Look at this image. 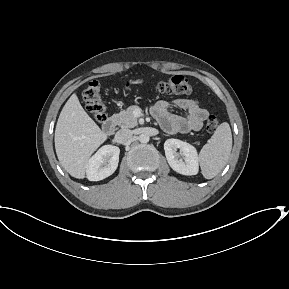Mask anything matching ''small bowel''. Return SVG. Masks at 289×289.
I'll list each match as a JSON object with an SVG mask.
<instances>
[{
  "instance_id": "small-bowel-1",
  "label": "small bowel",
  "mask_w": 289,
  "mask_h": 289,
  "mask_svg": "<svg viewBox=\"0 0 289 289\" xmlns=\"http://www.w3.org/2000/svg\"><path fill=\"white\" fill-rule=\"evenodd\" d=\"M170 106L185 110L186 116L174 114L170 110ZM151 113L168 133L197 131L208 116L207 110L200 106L198 100L188 98H178L171 102L165 100L158 101L151 108Z\"/></svg>"
}]
</instances>
